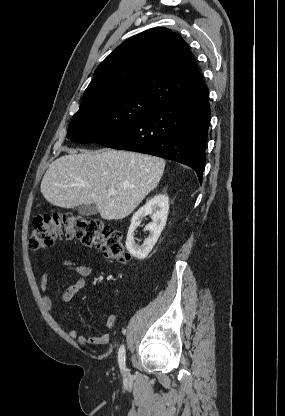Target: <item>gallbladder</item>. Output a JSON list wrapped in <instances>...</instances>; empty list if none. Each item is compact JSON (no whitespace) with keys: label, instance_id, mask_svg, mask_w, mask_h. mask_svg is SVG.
Listing matches in <instances>:
<instances>
[{"label":"gallbladder","instance_id":"1","mask_svg":"<svg viewBox=\"0 0 285 416\" xmlns=\"http://www.w3.org/2000/svg\"><path fill=\"white\" fill-rule=\"evenodd\" d=\"M77 210L80 216H95V214H98V208L94 204H82Z\"/></svg>","mask_w":285,"mask_h":416}]
</instances>
